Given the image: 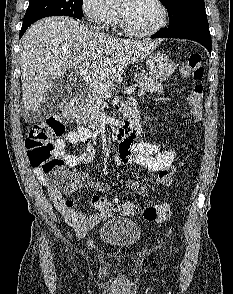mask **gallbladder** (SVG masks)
Masks as SVG:
<instances>
[{
  "instance_id": "1",
  "label": "gallbladder",
  "mask_w": 233,
  "mask_h": 294,
  "mask_svg": "<svg viewBox=\"0 0 233 294\" xmlns=\"http://www.w3.org/2000/svg\"><path fill=\"white\" fill-rule=\"evenodd\" d=\"M70 89L62 81L57 80L49 86L45 98L41 103V118L50 115L62 106L69 98Z\"/></svg>"
}]
</instances>
